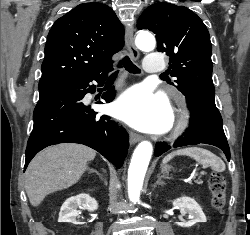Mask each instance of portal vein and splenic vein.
I'll use <instances>...</instances> for the list:
<instances>
[{"label": "portal vein and splenic vein", "instance_id": "1", "mask_svg": "<svg viewBox=\"0 0 250 235\" xmlns=\"http://www.w3.org/2000/svg\"><path fill=\"white\" fill-rule=\"evenodd\" d=\"M193 178H194V175H191V176L187 179V181H191Z\"/></svg>", "mask_w": 250, "mask_h": 235}]
</instances>
